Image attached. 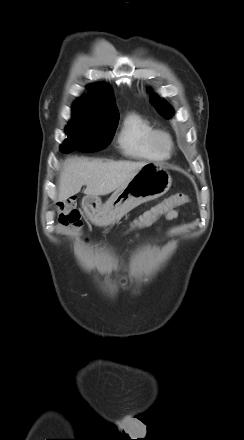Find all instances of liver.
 <instances>
[{
    "instance_id": "liver-1",
    "label": "liver",
    "mask_w": 244,
    "mask_h": 440,
    "mask_svg": "<svg viewBox=\"0 0 244 440\" xmlns=\"http://www.w3.org/2000/svg\"><path fill=\"white\" fill-rule=\"evenodd\" d=\"M145 162L89 160L84 157L66 159L59 180L58 199L65 201L86 185L87 196H104L116 191L141 169Z\"/></svg>"
}]
</instances>
